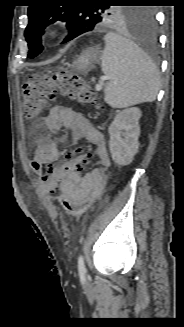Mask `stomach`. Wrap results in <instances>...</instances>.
I'll return each mask as SVG.
<instances>
[{"mask_svg": "<svg viewBox=\"0 0 184 327\" xmlns=\"http://www.w3.org/2000/svg\"><path fill=\"white\" fill-rule=\"evenodd\" d=\"M99 54L98 49H87L74 61L73 67L80 72L89 71L94 62L98 61Z\"/></svg>", "mask_w": 184, "mask_h": 327, "instance_id": "stomach-1", "label": "stomach"}]
</instances>
